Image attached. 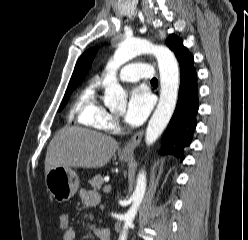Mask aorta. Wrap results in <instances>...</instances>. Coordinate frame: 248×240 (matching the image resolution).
<instances>
[{"instance_id": "1", "label": "aorta", "mask_w": 248, "mask_h": 240, "mask_svg": "<svg viewBox=\"0 0 248 240\" xmlns=\"http://www.w3.org/2000/svg\"><path fill=\"white\" fill-rule=\"evenodd\" d=\"M142 54H153L157 58L160 71V99L154 111L145 134L147 145H152L168 125L176 107L179 89V69L174 54L166 47L154 45L145 39H131L121 43L115 51L113 59L108 62L104 79V103L114 109L126 104V93L118 83L116 73L120 66L134 57ZM146 174L140 172L135 190L132 194V206L124 216L123 230L119 240H127L128 229L133 225L137 211L143 201L146 191Z\"/></svg>"}]
</instances>
